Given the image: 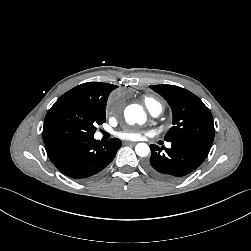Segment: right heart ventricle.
Wrapping results in <instances>:
<instances>
[{"instance_id": "e07e8e85", "label": "right heart ventricle", "mask_w": 251, "mask_h": 251, "mask_svg": "<svg viewBox=\"0 0 251 251\" xmlns=\"http://www.w3.org/2000/svg\"><path fill=\"white\" fill-rule=\"evenodd\" d=\"M144 103H145L146 107L159 106L162 109L160 102L157 101L156 99H154L153 97H145Z\"/></svg>"}]
</instances>
